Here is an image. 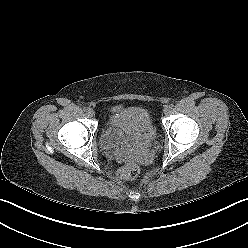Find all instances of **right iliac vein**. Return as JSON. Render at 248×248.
<instances>
[{
	"instance_id": "obj_1",
	"label": "right iliac vein",
	"mask_w": 248,
	"mask_h": 248,
	"mask_svg": "<svg viewBox=\"0 0 248 248\" xmlns=\"http://www.w3.org/2000/svg\"><path fill=\"white\" fill-rule=\"evenodd\" d=\"M86 112H87V115H88L89 117H93V116H94V111H93V109H88Z\"/></svg>"
}]
</instances>
